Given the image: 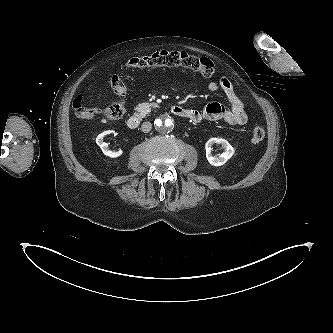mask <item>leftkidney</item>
<instances>
[{"mask_svg":"<svg viewBox=\"0 0 333 333\" xmlns=\"http://www.w3.org/2000/svg\"><path fill=\"white\" fill-rule=\"evenodd\" d=\"M214 144H220L224 149V152L220 154L218 158L212 156V146ZM206 158L210 165L212 166H222L224 165L234 154V148L229 144V142L222 138H210L206 144Z\"/></svg>","mask_w":333,"mask_h":333,"instance_id":"1","label":"left kidney"}]
</instances>
